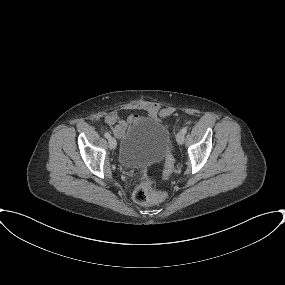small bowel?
<instances>
[{
	"instance_id": "c3829d8e",
	"label": "small bowel",
	"mask_w": 285,
	"mask_h": 285,
	"mask_svg": "<svg viewBox=\"0 0 285 285\" xmlns=\"http://www.w3.org/2000/svg\"><path fill=\"white\" fill-rule=\"evenodd\" d=\"M125 109L144 111L146 118L160 121L158 117L159 107L153 102H137L127 105ZM145 117L138 114H131L127 118L123 119L117 111H111L105 115L104 121L107 125L113 127V132L117 137H121L129 126Z\"/></svg>"
}]
</instances>
